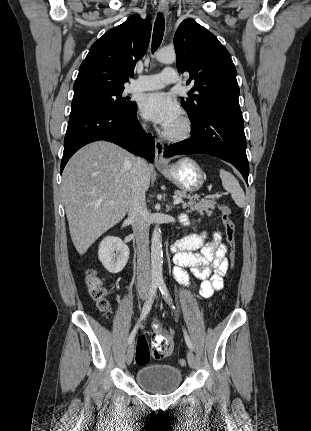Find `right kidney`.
<instances>
[{
  "label": "right kidney",
  "mask_w": 311,
  "mask_h": 431,
  "mask_svg": "<svg viewBox=\"0 0 311 431\" xmlns=\"http://www.w3.org/2000/svg\"><path fill=\"white\" fill-rule=\"evenodd\" d=\"M129 253L128 245L120 237H113V235L104 237L98 249L99 259L110 273H118L125 267Z\"/></svg>",
  "instance_id": "right-kidney-1"
}]
</instances>
